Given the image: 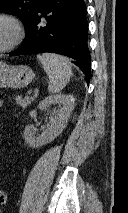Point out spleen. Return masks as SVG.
<instances>
[{"label":"spleen","mask_w":128,"mask_h":213,"mask_svg":"<svg viewBox=\"0 0 128 213\" xmlns=\"http://www.w3.org/2000/svg\"><path fill=\"white\" fill-rule=\"evenodd\" d=\"M44 71L48 75V91L51 94L59 93L70 81L73 75L71 63L68 58L52 53L37 55Z\"/></svg>","instance_id":"1"}]
</instances>
